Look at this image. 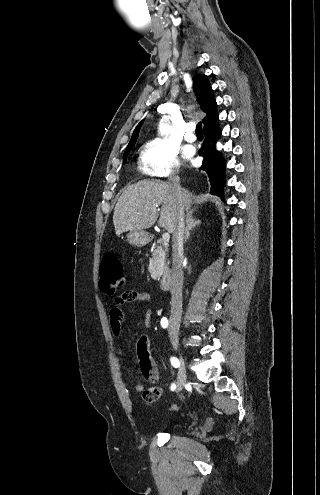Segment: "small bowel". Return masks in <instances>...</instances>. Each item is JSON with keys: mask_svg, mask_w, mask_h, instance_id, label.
Wrapping results in <instances>:
<instances>
[{"mask_svg": "<svg viewBox=\"0 0 320 495\" xmlns=\"http://www.w3.org/2000/svg\"><path fill=\"white\" fill-rule=\"evenodd\" d=\"M145 303L150 305L151 296L147 292H138L134 290L125 291L120 297L115 300L114 305L110 309L109 324L111 330L114 334L119 335L122 330V324L125 318L123 305L125 303ZM151 324V310L147 308L145 314V325L150 326ZM142 373L143 375L152 381L155 377H158V371L154 364L151 362L150 367H145L142 363ZM134 389L138 392L144 391V385L142 383H136Z\"/></svg>", "mask_w": 320, "mask_h": 495, "instance_id": "obj_1", "label": "small bowel"}]
</instances>
